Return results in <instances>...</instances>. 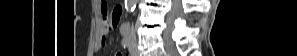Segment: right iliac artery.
Wrapping results in <instances>:
<instances>
[{"instance_id":"1","label":"right iliac artery","mask_w":297,"mask_h":56,"mask_svg":"<svg viewBox=\"0 0 297 56\" xmlns=\"http://www.w3.org/2000/svg\"><path fill=\"white\" fill-rule=\"evenodd\" d=\"M122 46L125 48L129 45V39L127 37H124L121 41Z\"/></svg>"}]
</instances>
